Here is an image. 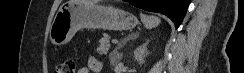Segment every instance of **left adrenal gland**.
I'll use <instances>...</instances> for the list:
<instances>
[{"label": "left adrenal gland", "mask_w": 244, "mask_h": 73, "mask_svg": "<svg viewBox=\"0 0 244 73\" xmlns=\"http://www.w3.org/2000/svg\"><path fill=\"white\" fill-rule=\"evenodd\" d=\"M138 37H139V33H138V32L129 34L126 38H124V39L118 44V47L116 48V51H117L118 49H121V48H122L128 41H130V40H134V39H136V38H138Z\"/></svg>", "instance_id": "a2214340"}]
</instances>
